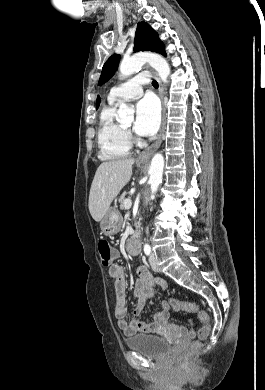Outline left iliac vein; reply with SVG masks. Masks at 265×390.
Wrapping results in <instances>:
<instances>
[{
	"label": "left iliac vein",
	"instance_id": "4c4485c4",
	"mask_svg": "<svg viewBox=\"0 0 265 390\" xmlns=\"http://www.w3.org/2000/svg\"><path fill=\"white\" fill-rule=\"evenodd\" d=\"M149 263H150V266L151 268L155 271V272H158L159 271V267L157 265V262H156V257L154 254H151L150 257H149Z\"/></svg>",
	"mask_w": 265,
	"mask_h": 390
}]
</instances>
